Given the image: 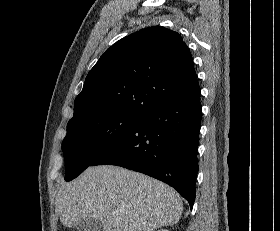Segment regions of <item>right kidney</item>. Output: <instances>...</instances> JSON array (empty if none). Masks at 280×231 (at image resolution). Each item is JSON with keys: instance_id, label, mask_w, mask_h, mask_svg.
I'll return each instance as SVG.
<instances>
[{"instance_id": "1", "label": "right kidney", "mask_w": 280, "mask_h": 231, "mask_svg": "<svg viewBox=\"0 0 280 231\" xmlns=\"http://www.w3.org/2000/svg\"><path fill=\"white\" fill-rule=\"evenodd\" d=\"M159 231H168V229H159Z\"/></svg>"}]
</instances>
